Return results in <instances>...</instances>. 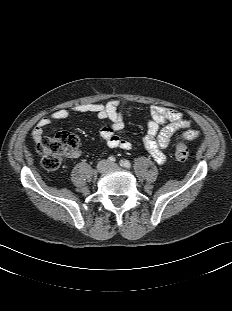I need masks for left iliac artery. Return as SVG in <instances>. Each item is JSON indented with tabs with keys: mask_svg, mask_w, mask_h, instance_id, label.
I'll return each mask as SVG.
<instances>
[{
	"mask_svg": "<svg viewBox=\"0 0 232 311\" xmlns=\"http://www.w3.org/2000/svg\"><path fill=\"white\" fill-rule=\"evenodd\" d=\"M120 165L122 167H125V168H130L131 167V163L128 160H125V159L120 161Z\"/></svg>",
	"mask_w": 232,
	"mask_h": 311,
	"instance_id": "44dca946",
	"label": "left iliac artery"
}]
</instances>
